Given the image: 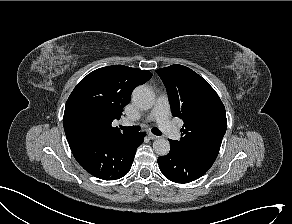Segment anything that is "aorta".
Segmentation results:
<instances>
[{
	"mask_svg": "<svg viewBox=\"0 0 292 224\" xmlns=\"http://www.w3.org/2000/svg\"><path fill=\"white\" fill-rule=\"evenodd\" d=\"M132 100L142 109H150L155 102L154 93L146 86H138L132 94ZM153 149L156 154L165 156L170 151V143L167 139L159 138L153 142Z\"/></svg>",
	"mask_w": 292,
	"mask_h": 224,
	"instance_id": "762f6f07",
	"label": "aorta"
}]
</instances>
